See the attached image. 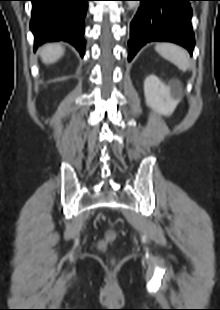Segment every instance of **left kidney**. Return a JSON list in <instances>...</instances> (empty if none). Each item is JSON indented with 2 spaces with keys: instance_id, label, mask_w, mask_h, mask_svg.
I'll return each instance as SVG.
<instances>
[{
  "instance_id": "obj_1",
  "label": "left kidney",
  "mask_w": 220,
  "mask_h": 310,
  "mask_svg": "<svg viewBox=\"0 0 220 310\" xmlns=\"http://www.w3.org/2000/svg\"><path fill=\"white\" fill-rule=\"evenodd\" d=\"M144 94L147 104L156 112L170 116L174 105L168 88L154 75H150L144 82Z\"/></svg>"
}]
</instances>
